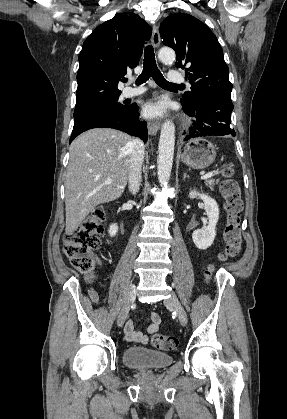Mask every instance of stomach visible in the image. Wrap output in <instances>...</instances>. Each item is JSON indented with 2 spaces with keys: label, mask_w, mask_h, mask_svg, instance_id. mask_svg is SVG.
Wrapping results in <instances>:
<instances>
[{
  "label": "stomach",
  "mask_w": 287,
  "mask_h": 419,
  "mask_svg": "<svg viewBox=\"0 0 287 419\" xmlns=\"http://www.w3.org/2000/svg\"><path fill=\"white\" fill-rule=\"evenodd\" d=\"M216 157L214 145L205 138L189 140L181 154V161L194 169H204L213 163Z\"/></svg>",
  "instance_id": "stomach-1"
}]
</instances>
